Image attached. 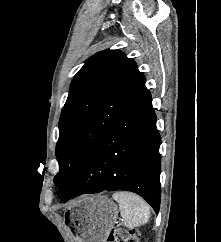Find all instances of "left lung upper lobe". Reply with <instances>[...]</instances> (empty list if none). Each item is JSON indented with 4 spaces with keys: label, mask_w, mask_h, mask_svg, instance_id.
Returning a JSON list of instances; mask_svg holds the SVG:
<instances>
[{
    "label": "left lung upper lobe",
    "mask_w": 221,
    "mask_h": 242,
    "mask_svg": "<svg viewBox=\"0 0 221 242\" xmlns=\"http://www.w3.org/2000/svg\"><path fill=\"white\" fill-rule=\"evenodd\" d=\"M134 60L118 50L90 57L71 82L59 120L54 183L63 193L82 172L98 139L147 92Z\"/></svg>",
    "instance_id": "1"
}]
</instances>
